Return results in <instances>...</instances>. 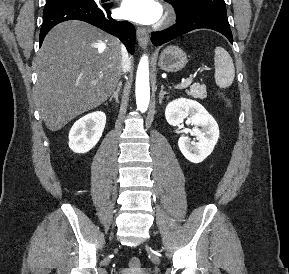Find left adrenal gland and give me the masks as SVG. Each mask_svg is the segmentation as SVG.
Here are the masks:
<instances>
[{"label": "left adrenal gland", "mask_w": 289, "mask_h": 274, "mask_svg": "<svg viewBox=\"0 0 289 274\" xmlns=\"http://www.w3.org/2000/svg\"><path fill=\"white\" fill-rule=\"evenodd\" d=\"M168 94L167 92L164 91V86L161 85V90L159 93V103H162V100L164 99V95Z\"/></svg>", "instance_id": "left-adrenal-gland-1"}]
</instances>
